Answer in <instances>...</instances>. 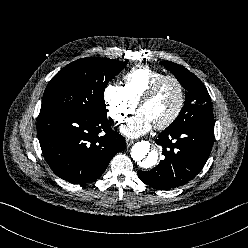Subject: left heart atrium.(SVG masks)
I'll list each match as a JSON object with an SVG mask.
<instances>
[{
	"mask_svg": "<svg viewBox=\"0 0 248 248\" xmlns=\"http://www.w3.org/2000/svg\"><path fill=\"white\" fill-rule=\"evenodd\" d=\"M152 126L153 124L146 114L139 111L121 126V132L128 137L136 138L148 132Z\"/></svg>",
	"mask_w": 248,
	"mask_h": 248,
	"instance_id": "obj_1",
	"label": "left heart atrium"
}]
</instances>
